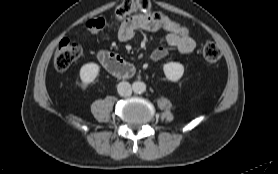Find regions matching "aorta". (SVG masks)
Returning a JSON list of instances; mask_svg holds the SVG:
<instances>
[{
  "mask_svg": "<svg viewBox=\"0 0 278 174\" xmlns=\"http://www.w3.org/2000/svg\"><path fill=\"white\" fill-rule=\"evenodd\" d=\"M133 91L137 94H142L146 91V84L141 81H136L133 83Z\"/></svg>",
  "mask_w": 278,
  "mask_h": 174,
  "instance_id": "aorta-1",
  "label": "aorta"
}]
</instances>
